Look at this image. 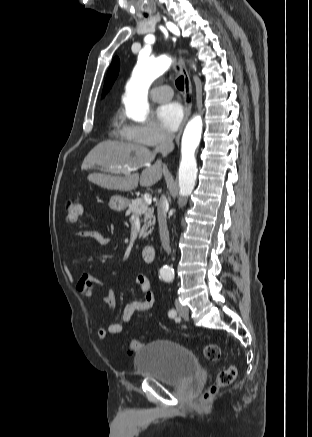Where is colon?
<instances>
[{"instance_id":"colon-1","label":"colon","mask_w":312,"mask_h":437,"mask_svg":"<svg viewBox=\"0 0 312 437\" xmlns=\"http://www.w3.org/2000/svg\"><path fill=\"white\" fill-rule=\"evenodd\" d=\"M64 212H65V221L68 224H75L83 215L84 212L83 203L78 200L68 198L64 202ZM141 345L142 343L140 340L133 339L129 345V352L130 353L138 352L141 348ZM203 354L208 361L215 362L218 361L221 357V349L217 344L209 343L204 346ZM236 374L237 371L234 365H228L222 368L219 371L214 384L210 387L208 392L205 394V398H209L215 395L221 388L230 385L234 381Z\"/></svg>"}]
</instances>
